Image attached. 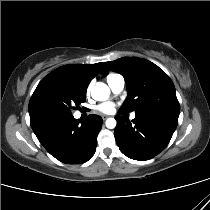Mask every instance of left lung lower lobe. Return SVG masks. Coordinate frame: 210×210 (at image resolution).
Masks as SVG:
<instances>
[{
    "instance_id": "1",
    "label": "left lung lower lobe",
    "mask_w": 210,
    "mask_h": 210,
    "mask_svg": "<svg viewBox=\"0 0 210 210\" xmlns=\"http://www.w3.org/2000/svg\"><path fill=\"white\" fill-rule=\"evenodd\" d=\"M122 112L119 110L118 115ZM115 140L120 151L134 160H148L159 154L169 143L178 123V116L166 113L136 114L125 121L116 116Z\"/></svg>"
}]
</instances>
